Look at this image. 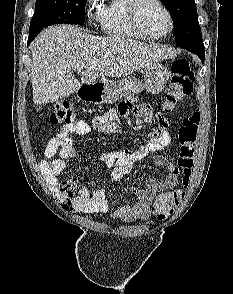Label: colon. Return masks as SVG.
<instances>
[{
    "mask_svg": "<svg viewBox=\"0 0 233 294\" xmlns=\"http://www.w3.org/2000/svg\"><path fill=\"white\" fill-rule=\"evenodd\" d=\"M194 80V73L189 61L185 58L176 59L171 67V77L163 107L164 112L170 113L180 106L184 99L191 94ZM50 121L54 125L72 124L76 121L75 112L69 103L60 102L52 112ZM200 123L201 115L196 109L182 121L179 128L180 156L178 166L182 173L180 186L173 191L161 193L155 198L152 210L159 220L167 218L173 212V207L179 205L185 196L193 168ZM74 185L73 180L65 181L62 183V191L71 196L74 193Z\"/></svg>",
    "mask_w": 233,
    "mask_h": 294,
    "instance_id": "1",
    "label": "colon"
}]
</instances>
